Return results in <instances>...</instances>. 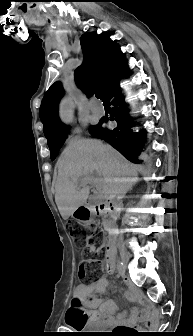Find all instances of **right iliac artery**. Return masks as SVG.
I'll return each mask as SVG.
<instances>
[{
	"mask_svg": "<svg viewBox=\"0 0 193 336\" xmlns=\"http://www.w3.org/2000/svg\"><path fill=\"white\" fill-rule=\"evenodd\" d=\"M122 268V262H120L119 264H118V269H119V272H120V269Z\"/></svg>",
	"mask_w": 193,
	"mask_h": 336,
	"instance_id": "1",
	"label": "right iliac artery"
}]
</instances>
